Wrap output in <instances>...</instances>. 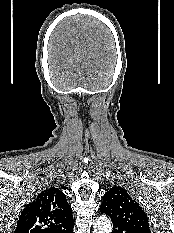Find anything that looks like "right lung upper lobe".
<instances>
[{"label":"right lung upper lobe","instance_id":"1","mask_svg":"<svg viewBox=\"0 0 174 233\" xmlns=\"http://www.w3.org/2000/svg\"><path fill=\"white\" fill-rule=\"evenodd\" d=\"M72 226V209L65 194L50 187L25 206L14 233H63Z\"/></svg>","mask_w":174,"mask_h":233}]
</instances>
